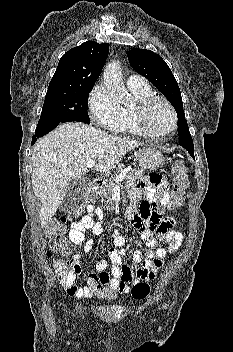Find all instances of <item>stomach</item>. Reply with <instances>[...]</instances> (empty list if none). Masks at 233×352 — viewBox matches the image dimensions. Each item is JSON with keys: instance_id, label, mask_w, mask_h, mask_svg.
<instances>
[{"instance_id": "stomach-1", "label": "stomach", "mask_w": 233, "mask_h": 352, "mask_svg": "<svg viewBox=\"0 0 233 352\" xmlns=\"http://www.w3.org/2000/svg\"><path fill=\"white\" fill-rule=\"evenodd\" d=\"M136 158L143 169H157L164 162L162 153L151 147L140 149L136 154Z\"/></svg>"}]
</instances>
